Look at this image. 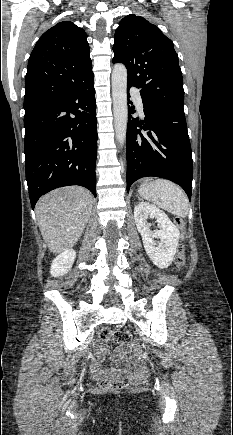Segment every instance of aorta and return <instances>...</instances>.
Instances as JSON below:
<instances>
[{"instance_id": "1", "label": "aorta", "mask_w": 233, "mask_h": 435, "mask_svg": "<svg viewBox=\"0 0 233 435\" xmlns=\"http://www.w3.org/2000/svg\"><path fill=\"white\" fill-rule=\"evenodd\" d=\"M112 97L116 139L123 146L128 121L127 69L120 63L114 66L112 72Z\"/></svg>"}]
</instances>
